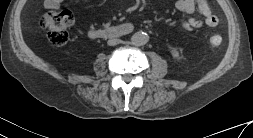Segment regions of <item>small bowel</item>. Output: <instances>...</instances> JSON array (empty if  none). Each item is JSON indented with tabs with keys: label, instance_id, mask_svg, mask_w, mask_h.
<instances>
[{
	"label": "small bowel",
	"instance_id": "small-bowel-1",
	"mask_svg": "<svg viewBox=\"0 0 253 138\" xmlns=\"http://www.w3.org/2000/svg\"><path fill=\"white\" fill-rule=\"evenodd\" d=\"M198 10H199L201 13H203L205 16H207L208 19L211 18L210 10H209L208 6L205 5L204 3H200V4L198 5ZM182 23L185 24V22H182Z\"/></svg>",
	"mask_w": 253,
	"mask_h": 138
}]
</instances>
